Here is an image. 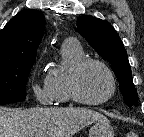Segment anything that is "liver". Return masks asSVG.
Masks as SVG:
<instances>
[{
  "instance_id": "obj_1",
  "label": "liver",
  "mask_w": 144,
  "mask_h": 137,
  "mask_svg": "<svg viewBox=\"0 0 144 137\" xmlns=\"http://www.w3.org/2000/svg\"><path fill=\"white\" fill-rule=\"evenodd\" d=\"M106 119L87 108L0 107V137H73L86 125Z\"/></svg>"
}]
</instances>
